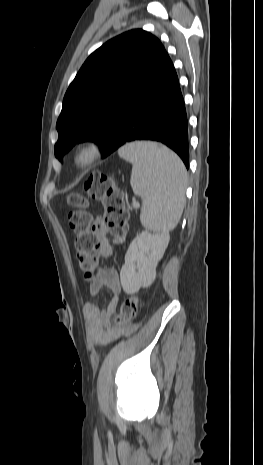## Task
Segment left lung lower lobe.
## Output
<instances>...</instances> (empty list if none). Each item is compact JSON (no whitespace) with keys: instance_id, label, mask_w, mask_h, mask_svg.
Listing matches in <instances>:
<instances>
[{"instance_id":"left-lung-lower-lobe-1","label":"left lung lower lobe","mask_w":263,"mask_h":465,"mask_svg":"<svg viewBox=\"0 0 263 465\" xmlns=\"http://www.w3.org/2000/svg\"><path fill=\"white\" fill-rule=\"evenodd\" d=\"M158 141L174 150L188 169V122L184 99L171 59L164 51L139 81L135 97L119 117L107 157L127 142Z\"/></svg>"}]
</instances>
